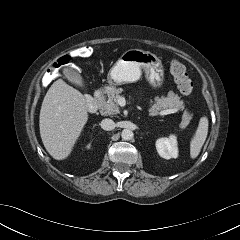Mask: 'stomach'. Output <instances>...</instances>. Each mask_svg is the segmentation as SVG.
Wrapping results in <instances>:
<instances>
[{
	"instance_id": "1",
	"label": "stomach",
	"mask_w": 240,
	"mask_h": 240,
	"mask_svg": "<svg viewBox=\"0 0 240 240\" xmlns=\"http://www.w3.org/2000/svg\"><path fill=\"white\" fill-rule=\"evenodd\" d=\"M142 70L153 88H159L164 82V68L161 60L153 53L140 49L125 51L108 74V83L116 87L133 83L141 78Z\"/></svg>"
}]
</instances>
